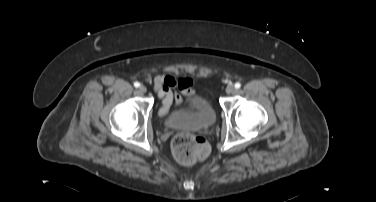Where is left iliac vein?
<instances>
[{"instance_id": "4c4485c4", "label": "left iliac vein", "mask_w": 376, "mask_h": 202, "mask_svg": "<svg viewBox=\"0 0 376 202\" xmlns=\"http://www.w3.org/2000/svg\"><path fill=\"white\" fill-rule=\"evenodd\" d=\"M234 91V86L233 85H228L226 87V93L230 94Z\"/></svg>"}]
</instances>
